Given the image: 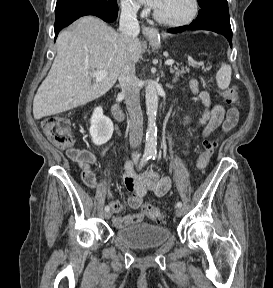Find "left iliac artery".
<instances>
[{
	"mask_svg": "<svg viewBox=\"0 0 273 288\" xmlns=\"http://www.w3.org/2000/svg\"><path fill=\"white\" fill-rule=\"evenodd\" d=\"M151 157H152L153 159H155V158L157 157L156 153H155V154H152ZM176 205H177V207H179V208L182 207V203H181V202H177Z\"/></svg>",
	"mask_w": 273,
	"mask_h": 288,
	"instance_id": "44dca946",
	"label": "left iliac artery"
}]
</instances>
